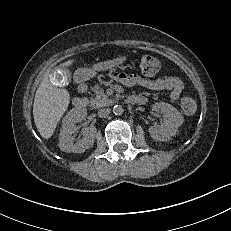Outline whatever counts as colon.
Instances as JSON below:
<instances>
[{"label":"colon","mask_w":231,"mask_h":231,"mask_svg":"<svg viewBox=\"0 0 231 231\" xmlns=\"http://www.w3.org/2000/svg\"><path fill=\"white\" fill-rule=\"evenodd\" d=\"M138 67L145 76H154L161 69L160 61L150 55H143L138 59ZM181 108L186 114H194L197 109V103L192 97H183L181 100Z\"/></svg>","instance_id":"1"}]
</instances>
